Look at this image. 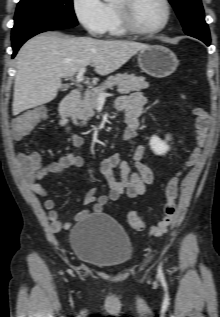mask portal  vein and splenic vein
<instances>
[{"label":"portal vein and splenic vein","mask_w":220,"mask_h":317,"mask_svg":"<svg viewBox=\"0 0 220 317\" xmlns=\"http://www.w3.org/2000/svg\"><path fill=\"white\" fill-rule=\"evenodd\" d=\"M85 71H86L85 67L79 69V71L77 73V76H76V81L78 83L89 84L88 81H84V73H85ZM106 97H107V94L105 92H100L98 99H105Z\"/></svg>","instance_id":"1"}]
</instances>
